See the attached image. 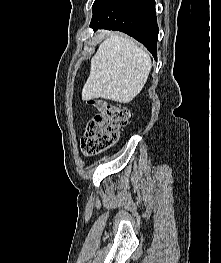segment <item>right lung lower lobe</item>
<instances>
[{
	"instance_id": "obj_1",
	"label": "right lung lower lobe",
	"mask_w": 221,
	"mask_h": 263,
	"mask_svg": "<svg viewBox=\"0 0 221 263\" xmlns=\"http://www.w3.org/2000/svg\"><path fill=\"white\" fill-rule=\"evenodd\" d=\"M90 27L119 30L141 42L157 58L155 0H112L92 18Z\"/></svg>"
}]
</instances>
